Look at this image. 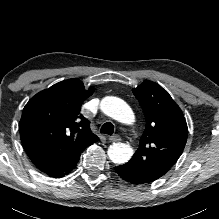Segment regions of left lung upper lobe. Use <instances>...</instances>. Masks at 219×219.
Listing matches in <instances>:
<instances>
[{
    "instance_id": "5c2ea615",
    "label": "left lung upper lobe",
    "mask_w": 219,
    "mask_h": 219,
    "mask_svg": "<svg viewBox=\"0 0 219 219\" xmlns=\"http://www.w3.org/2000/svg\"><path fill=\"white\" fill-rule=\"evenodd\" d=\"M132 91L145 113L146 128L138 150L126 165L160 178L181 156L187 141V124L178 105L157 83L146 80Z\"/></svg>"
}]
</instances>
